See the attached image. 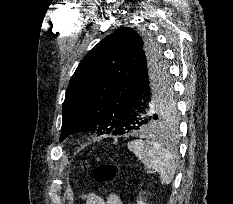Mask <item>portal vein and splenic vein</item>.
<instances>
[{
  "mask_svg": "<svg viewBox=\"0 0 233 204\" xmlns=\"http://www.w3.org/2000/svg\"><path fill=\"white\" fill-rule=\"evenodd\" d=\"M143 170L148 172V169H147V168H143Z\"/></svg>",
  "mask_w": 233,
  "mask_h": 204,
  "instance_id": "portal-vein-and-splenic-vein-1",
  "label": "portal vein and splenic vein"
}]
</instances>
